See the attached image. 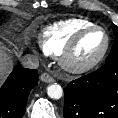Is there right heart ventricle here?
I'll list each match as a JSON object with an SVG mask.
<instances>
[{"mask_svg":"<svg viewBox=\"0 0 118 118\" xmlns=\"http://www.w3.org/2000/svg\"><path fill=\"white\" fill-rule=\"evenodd\" d=\"M91 25L95 24L85 18L66 19L50 24L39 36V47L45 55L57 56L78 31Z\"/></svg>","mask_w":118,"mask_h":118,"instance_id":"right-heart-ventricle-1","label":"right heart ventricle"}]
</instances>
